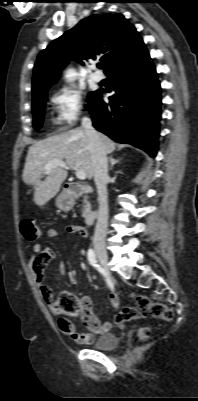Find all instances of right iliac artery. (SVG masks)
Segmentation results:
<instances>
[{"mask_svg": "<svg viewBox=\"0 0 198 401\" xmlns=\"http://www.w3.org/2000/svg\"><path fill=\"white\" fill-rule=\"evenodd\" d=\"M88 260L93 267H95V268L99 267V265L97 264V259H96L95 253L92 249H90L88 251Z\"/></svg>", "mask_w": 198, "mask_h": 401, "instance_id": "obj_1", "label": "right iliac artery"}]
</instances>
